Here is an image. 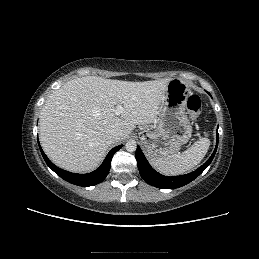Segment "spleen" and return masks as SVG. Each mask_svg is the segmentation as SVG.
<instances>
[{
  "instance_id": "obj_1",
  "label": "spleen",
  "mask_w": 259,
  "mask_h": 259,
  "mask_svg": "<svg viewBox=\"0 0 259 259\" xmlns=\"http://www.w3.org/2000/svg\"><path fill=\"white\" fill-rule=\"evenodd\" d=\"M205 137L196 141L190 148L179 155L167 158L151 159V165L164 175H180L196 167L205 157L210 146V140Z\"/></svg>"
}]
</instances>
